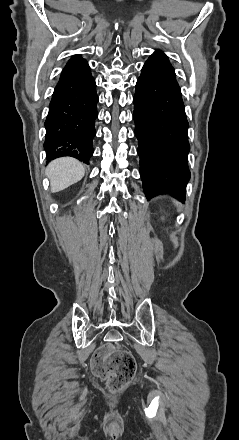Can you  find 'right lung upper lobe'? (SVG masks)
I'll return each mask as SVG.
<instances>
[{
	"mask_svg": "<svg viewBox=\"0 0 239 440\" xmlns=\"http://www.w3.org/2000/svg\"><path fill=\"white\" fill-rule=\"evenodd\" d=\"M72 59L83 60L80 55H75L72 57Z\"/></svg>",
	"mask_w": 239,
	"mask_h": 440,
	"instance_id": "obj_1",
	"label": "right lung upper lobe"
}]
</instances>
